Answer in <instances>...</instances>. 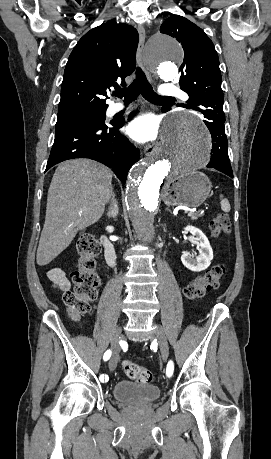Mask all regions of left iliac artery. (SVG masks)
I'll use <instances>...</instances> for the list:
<instances>
[{"mask_svg": "<svg viewBox=\"0 0 271 459\" xmlns=\"http://www.w3.org/2000/svg\"><path fill=\"white\" fill-rule=\"evenodd\" d=\"M166 376L167 377H173V362L169 361L166 369Z\"/></svg>", "mask_w": 271, "mask_h": 459, "instance_id": "left-iliac-artery-1", "label": "left iliac artery"}]
</instances>
